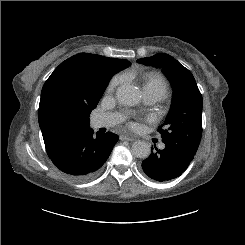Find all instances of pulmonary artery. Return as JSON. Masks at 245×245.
Returning a JSON list of instances; mask_svg holds the SVG:
<instances>
[{"mask_svg":"<svg viewBox=\"0 0 245 245\" xmlns=\"http://www.w3.org/2000/svg\"><path fill=\"white\" fill-rule=\"evenodd\" d=\"M144 100L147 104H154L159 101V98L155 95L145 94ZM122 120L123 117L116 113L102 114L95 118L94 125L96 127H110L120 123ZM160 147L165 148V145L162 144Z\"/></svg>","mask_w":245,"mask_h":245,"instance_id":"1","label":"pulmonary artery"}]
</instances>
